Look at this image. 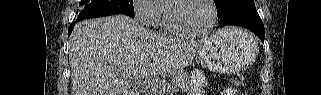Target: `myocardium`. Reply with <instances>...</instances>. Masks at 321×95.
I'll return each mask as SVG.
<instances>
[{
  "label": "myocardium",
  "mask_w": 321,
  "mask_h": 95,
  "mask_svg": "<svg viewBox=\"0 0 321 95\" xmlns=\"http://www.w3.org/2000/svg\"><path fill=\"white\" fill-rule=\"evenodd\" d=\"M187 1H190V0H172L168 3V5L166 7V24H167L168 29L178 35L192 36V37L204 36V35H207L210 32H212L217 24V19H218V11H217L215 1L214 0H205L211 7L212 20H211L210 25L206 29L201 30V31L191 30V29L182 27L175 20V17H174L175 9L180 4L185 3Z\"/></svg>",
  "instance_id": "obj_1"
}]
</instances>
